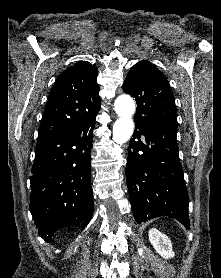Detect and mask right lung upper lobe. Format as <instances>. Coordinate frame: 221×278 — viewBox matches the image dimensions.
Segmentation results:
<instances>
[{
  "instance_id": "obj_1",
  "label": "right lung upper lobe",
  "mask_w": 221,
  "mask_h": 278,
  "mask_svg": "<svg viewBox=\"0 0 221 278\" xmlns=\"http://www.w3.org/2000/svg\"><path fill=\"white\" fill-rule=\"evenodd\" d=\"M98 69L80 61L64 70L52 87L38 132L41 145L100 109ZM36 145V146H37Z\"/></svg>"
}]
</instances>
